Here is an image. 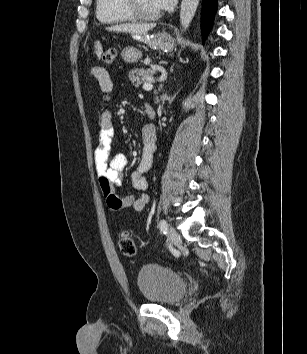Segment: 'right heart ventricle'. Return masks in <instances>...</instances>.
<instances>
[{"instance_id":"1","label":"right heart ventricle","mask_w":307,"mask_h":354,"mask_svg":"<svg viewBox=\"0 0 307 354\" xmlns=\"http://www.w3.org/2000/svg\"><path fill=\"white\" fill-rule=\"evenodd\" d=\"M96 17L104 24L133 20V17L126 10L123 0H96Z\"/></svg>"}]
</instances>
